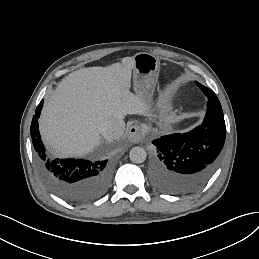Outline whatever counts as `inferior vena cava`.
Here are the masks:
<instances>
[{"label": "inferior vena cava", "instance_id": "602c4592", "mask_svg": "<svg viewBox=\"0 0 259 259\" xmlns=\"http://www.w3.org/2000/svg\"><path fill=\"white\" fill-rule=\"evenodd\" d=\"M123 116L122 113H119ZM125 122L120 117H112L99 126L100 134L107 140H116L123 136Z\"/></svg>", "mask_w": 259, "mask_h": 259}]
</instances>
